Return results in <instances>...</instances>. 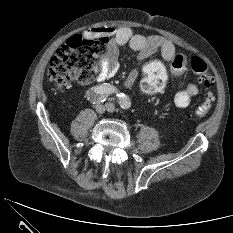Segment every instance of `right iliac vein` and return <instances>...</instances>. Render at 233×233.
Masks as SVG:
<instances>
[{"label": "right iliac vein", "mask_w": 233, "mask_h": 233, "mask_svg": "<svg viewBox=\"0 0 233 233\" xmlns=\"http://www.w3.org/2000/svg\"><path fill=\"white\" fill-rule=\"evenodd\" d=\"M95 109H96V112L101 115V114H103L105 112V110L107 109V107H106V105L98 103L96 105Z\"/></svg>", "instance_id": "right-iliac-vein-1"}]
</instances>
